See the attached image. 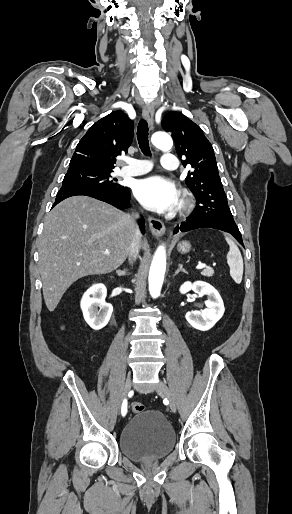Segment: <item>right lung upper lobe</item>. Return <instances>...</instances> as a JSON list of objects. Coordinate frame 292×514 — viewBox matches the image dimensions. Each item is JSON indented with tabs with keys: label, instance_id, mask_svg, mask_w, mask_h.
<instances>
[{
	"label": "right lung upper lobe",
	"instance_id": "obj_1",
	"mask_svg": "<svg viewBox=\"0 0 292 514\" xmlns=\"http://www.w3.org/2000/svg\"><path fill=\"white\" fill-rule=\"evenodd\" d=\"M134 124L123 111H114L92 125L79 141L68 172H106L127 152Z\"/></svg>",
	"mask_w": 292,
	"mask_h": 514
}]
</instances>
